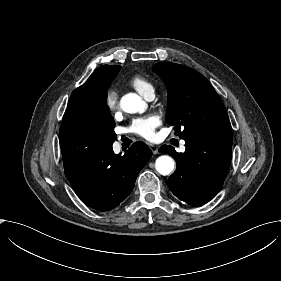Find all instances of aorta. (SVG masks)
<instances>
[{"label":"aorta","mask_w":281,"mask_h":281,"mask_svg":"<svg viewBox=\"0 0 281 281\" xmlns=\"http://www.w3.org/2000/svg\"><path fill=\"white\" fill-rule=\"evenodd\" d=\"M120 106L126 113H142L146 110L147 104L135 93H128L120 100ZM175 161L168 155H162L156 159L155 169L161 175H169L174 171Z\"/></svg>","instance_id":"762f6f07"}]
</instances>
